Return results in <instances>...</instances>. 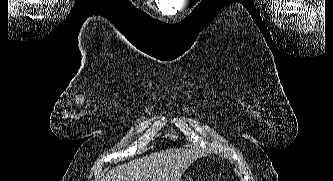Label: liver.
<instances>
[{
    "label": "liver",
    "instance_id": "6515ba94",
    "mask_svg": "<svg viewBox=\"0 0 333 181\" xmlns=\"http://www.w3.org/2000/svg\"><path fill=\"white\" fill-rule=\"evenodd\" d=\"M203 153L173 148L117 166L102 181H179L184 171Z\"/></svg>",
    "mask_w": 333,
    "mask_h": 181
}]
</instances>
